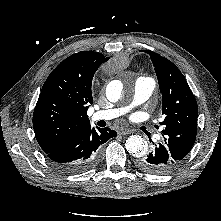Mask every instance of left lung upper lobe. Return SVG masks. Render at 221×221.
<instances>
[{"label": "left lung upper lobe", "mask_w": 221, "mask_h": 221, "mask_svg": "<svg viewBox=\"0 0 221 221\" xmlns=\"http://www.w3.org/2000/svg\"><path fill=\"white\" fill-rule=\"evenodd\" d=\"M150 54L162 94L164 120L162 135L177 162L190 152L197 134L198 106L196 99L180 70L168 59Z\"/></svg>", "instance_id": "1"}]
</instances>
